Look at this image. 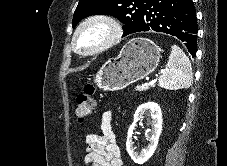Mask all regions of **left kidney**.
Returning a JSON list of instances; mask_svg holds the SVG:
<instances>
[{"label": "left kidney", "instance_id": "obj_1", "mask_svg": "<svg viewBox=\"0 0 227 166\" xmlns=\"http://www.w3.org/2000/svg\"><path fill=\"white\" fill-rule=\"evenodd\" d=\"M148 113L152 118V130L150 131L149 144L140 153L135 151L133 142V131L136 123L141 120L144 114ZM162 132V112L160 106L155 102L141 104L134 114L133 123L130 125L127 134L126 149L131 159L137 164L145 163L155 152L160 134Z\"/></svg>", "mask_w": 227, "mask_h": 166}]
</instances>
